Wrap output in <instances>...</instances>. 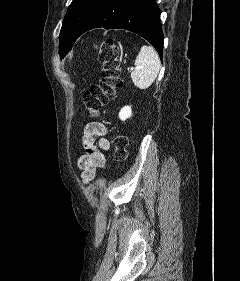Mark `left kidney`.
Segmentation results:
<instances>
[{
    "mask_svg": "<svg viewBox=\"0 0 240 281\" xmlns=\"http://www.w3.org/2000/svg\"><path fill=\"white\" fill-rule=\"evenodd\" d=\"M131 116H132L131 106H125L119 112V118L122 121H125L126 119L130 118Z\"/></svg>",
    "mask_w": 240,
    "mask_h": 281,
    "instance_id": "1",
    "label": "left kidney"
}]
</instances>
